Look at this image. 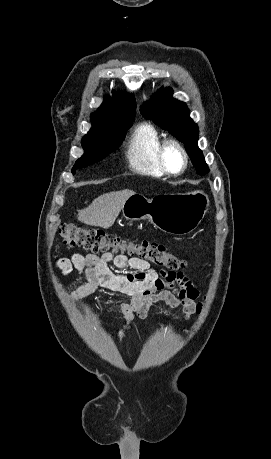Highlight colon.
I'll return each instance as SVG.
<instances>
[{
	"label": "colon",
	"mask_w": 271,
	"mask_h": 459,
	"mask_svg": "<svg viewBox=\"0 0 271 459\" xmlns=\"http://www.w3.org/2000/svg\"><path fill=\"white\" fill-rule=\"evenodd\" d=\"M59 235L64 245L82 247L92 252H120L130 256L150 261L170 271H176L185 266L164 245L155 242H134L108 234L102 229L86 228L74 224H64L59 229ZM200 310L198 305L197 311Z\"/></svg>",
	"instance_id": "5ec220e1"
}]
</instances>
